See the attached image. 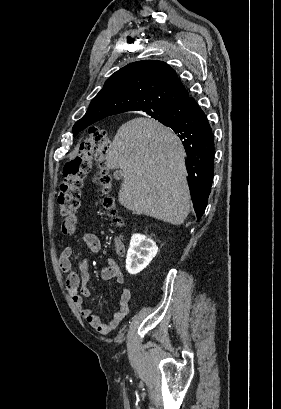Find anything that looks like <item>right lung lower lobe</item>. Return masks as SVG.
<instances>
[{
  "instance_id": "98d812e1",
  "label": "right lung lower lobe",
  "mask_w": 281,
  "mask_h": 409,
  "mask_svg": "<svg viewBox=\"0 0 281 409\" xmlns=\"http://www.w3.org/2000/svg\"><path fill=\"white\" fill-rule=\"evenodd\" d=\"M146 113L155 119L176 118L168 127L178 134L187 153L190 193L199 220L207 206L214 172V135L207 117L192 97Z\"/></svg>"
}]
</instances>
